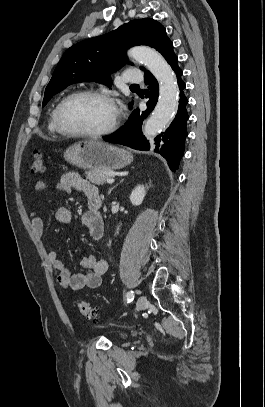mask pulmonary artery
<instances>
[{
  "label": "pulmonary artery",
  "mask_w": 265,
  "mask_h": 407,
  "mask_svg": "<svg viewBox=\"0 0 265 407\" xmlns=\"http://www.w3.org/2000/svg\"><path fill=\"white\" fill-rule=\"evenodd\" d=\"M124 81L129 84H138L143 81V75L139 70L131 68L124 73Z\"/></svg>",
  "instance_id": "1"
}]
</instances>
